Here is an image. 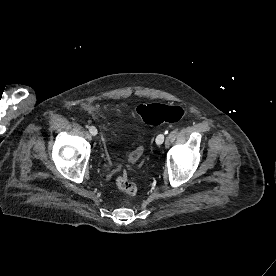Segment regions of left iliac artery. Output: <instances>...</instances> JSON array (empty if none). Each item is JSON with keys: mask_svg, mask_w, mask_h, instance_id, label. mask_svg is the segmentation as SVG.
<instances>
[{"mask_svg": "<svg viewBox=\"0 0 276 276\" xmlns=\"http://www.w3.org/2000/svg\"><path fill=\"white\" fill-rule=\"evenodd\" d=\"M168 133V131H165V134H167Z\"/></svg>", "mask_w": 276, "mask_h": 276, "instance_id": "1", "label": "left iliac artery"}]
</instances>
